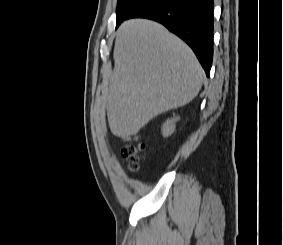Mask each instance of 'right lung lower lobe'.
Here are the masks:
<instances>
[{"label":"right lung lower lobe","instance_id":"right-lung-lower-lobe-1","mask_svg":"<svg viewBox=\"0 0 283 245\" xmlns=\"http://www.w3.org/2000/svg\"><path fill=\"white\" fill-rule=\"evenodd\" d=\"M213 9L214 0H147L126 19L143 17L162 23L193 49L209 76L213 59Z\"/></svg>","mask_w":283,"mask_h":245}]
</instances>
